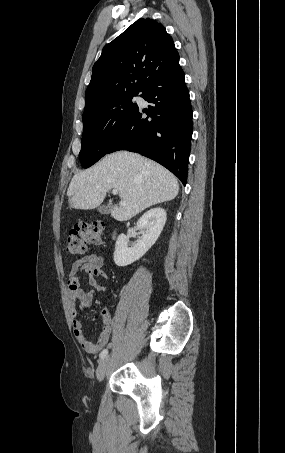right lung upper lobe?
Here are the masks:
<instances>
[{
    "instance_id": "1",
    "label": "right lung upper lobe",
    "mask_w": 285,
    "mask_h": 453,
    "mask_svg": "<svg viewBox=\"0 0 285 453\" xmlns=\"http://www.w3.org/2000/svg\"><path fill=\"white\" fill-rule=\"evenodd\" d=\"M179 63V54L165 27L140 18L107 44L94 64L85 93L84 113L126 94L140 93L155 76Z\"/></svg>"
}]
</instances>
